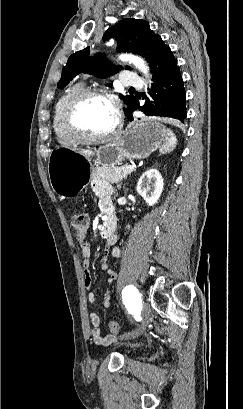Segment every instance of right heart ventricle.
<instances>
[{
	"label": "right heart ventricle",
	"instance_id": "1",
	"mask_svg": "<svg viewBox=\"0 0 243 409\" xmlns=\"http://www.w3.org/2000/svg\"><path fill=\"white\" fill-rule=\"evenodd\" d=\"M84 88L82 83H75L69 86L57 99L53 109V129L57 141L62 145H73L77 140L65 129L63 124V110L67 100L77 91Z\"/></svg>",
	"mask_w": 243,
	"mask_h": 409
}]
</instances>
